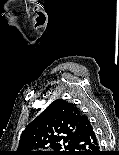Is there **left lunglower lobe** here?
I'll return each mask as SVG.
<instances>
[{"mask_svg":"<svg viewBox=\"0 0 119 155\" xmlns=\"http://www.w3.org/2000/svg\"><path fill=\"white\" fill-rule=\"evenodd\" d=\"M74 143L78 150L76 155H104L100 151L93 125L85 115L81 114Z\"/></svg>","mask_w":119,"mask_h":155,"instance_id":"obj_1","label":"left lung lower lobe"}]
</instances>
